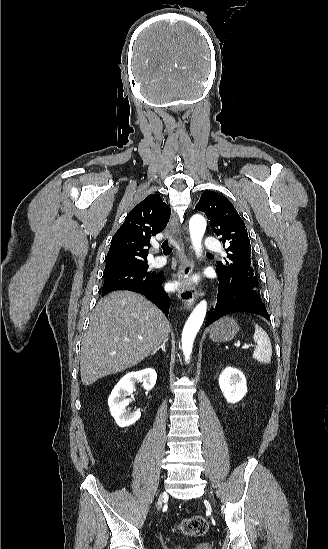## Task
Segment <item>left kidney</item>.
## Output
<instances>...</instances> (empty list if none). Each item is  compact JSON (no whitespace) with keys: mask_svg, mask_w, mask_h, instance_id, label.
I'll return each instance as SVG.
<instances>
[{"mask_svg":"<svg viewBox=\"0 0 328 549\" xmlns=\"http://www.w3.org/2000/svg\"><path fill=\"white\" fill-rule=\"evenodd\" d=\"M219 387L227 403H238L247 393L245 375L240 369L226 367L219 377Z\"/></svg>","mask_w":328,"mask_h":549,"instance_id":"1","label":"left kidney"}]
</instances>
